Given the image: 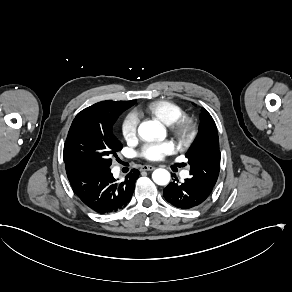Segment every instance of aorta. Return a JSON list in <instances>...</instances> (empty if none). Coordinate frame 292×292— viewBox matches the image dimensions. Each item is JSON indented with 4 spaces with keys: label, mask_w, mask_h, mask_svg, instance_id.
<instances>
[{
    "label": "aorta",
    "mask_w": 292,
    "mask_h": 292,
    "mask_svg": "<svg viewBox=\"0 0 292 292\" xmlns=\"http://www.w3.org/2000/svg\"><path fill=\"white\" fill-rule=\"evenodd\" d=\"M138 135L145 141H151L157 137L165 138V128L157 121H145L138 126ZM153 181L161 186L170 182V173L166 169H156L152 174Z\"/></svg>",
    "instance_id": "762f6f07"
}]
</instances>
